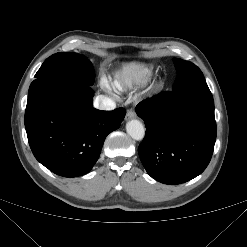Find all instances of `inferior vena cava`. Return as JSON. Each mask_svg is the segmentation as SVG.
Masks as SVG:
<instances>
[{
  "label": "inferior vena cava",
  "instance_id": "1",
  "mask_svg": "<svg viewBox=\"0 0 247 247\" xmlns=\"http://www.w3.org/2000/svg\"><path fill=\"white\" fill-rule=\"evenodd\" d=\"M94 107L100 110H114L116 107L115 101L104 95H99L95 98Z\"/></svg>",
  "mask_w": 247,
  "mask_h": 247
}]
</instances>
